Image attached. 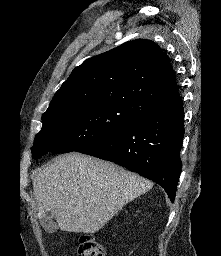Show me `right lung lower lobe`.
I'll return each mask as SVG.
<instances>
[{
    "label": "right lung lower lobe",
    "instance_id": "1",
    "mask_svg": "<svg viewBox=\"0 0 221 256\" xmlns=\"http://www.w3.org/2000/svg\"><path fill=\"white\" fill-rule=\"evenodd\" d=\"M184 109L155 112L122 125L77 152L112 161L160 184L174 202L181 173Z\"/></svg>",
    "mask_w": 221,
    "mask_h": 256
}]
</instances>
